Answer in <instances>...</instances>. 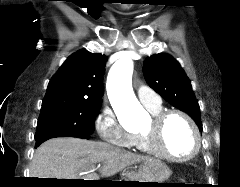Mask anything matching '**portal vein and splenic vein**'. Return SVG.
<instances>
[{
    "label": "portal vein and splenic vein",
    "instance_id": "18ae733b",
    "mask_svg": "<svg viewBox=\"0 0 240 187\" xmlns=\"http://www.w3.org/2000/svg\"><path fill=\"white\" fill-rule=\"evenodd\" d=\"M95 169H92L91 171H89V172H93ZM96 177V176H95Z\"/></svg>",
    "mask_w": 240,
    "mask_h": 187
}]
</instances>
